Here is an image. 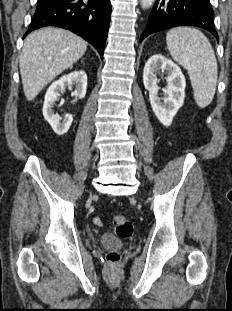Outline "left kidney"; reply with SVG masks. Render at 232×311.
Here are the masks:
<instances>
[{
	"label": "left kidney",
	"mask_w": 232,
	"mask_h": 311,
	"mask_svg": "<svg viewBox=\"0 0 232 311\" xmlns=\"http://www.w3.org/2000/svg\"><path fill=\"white\" fill-rule=\"evenodd\" d=\"M160 72L167 74V85L163 89L162 98L158 93L157 74ZM143 83L145 89L149 91L154 114L164 126H170L185 98L186 81L180 67L161 54L153 55L144 66Z\"/></svg>",
	"instance_id": "obj_1"
}]
</instances>
